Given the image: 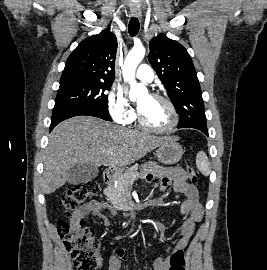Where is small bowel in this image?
I'll list each match as a JSON object with an SVG mask.
<instances>
[{
	"label": "small bowel",
	"instance_id": "small-bowel-1",
	"mask_svg": "<svg viewBox=\"0 0 267 270\" xmlns=\"http://www.w3.org/2000/svg\"><path fill=\"white\" fill-rule=\"evenodd\" d=\"M142 177L151 182L154 179L160 181V189L165 190L173 185L175 192L184 196L180 212L187 215V218L179 227V239L175 245L174 251L184 249L192 237L195 226L203 218V208L199 202V195L196 186L187 180L186 172L180 168H165L150 164L142 172ZM110 209L104 201L92 200L80 207L72 216L71 222L76 224L83 221L88 215L92 214L99 217L105 226L110 225L109 219L103 214V211ZM114 213L113 210H111ZM173 251V252H174ZM126 258V252L122 248H117L109 262V270H120V260ZM170 257H157L153 262V270H168Z\"/></svg>",
	"mask_w": 267,
	"mask_h": 270
}]
</instances>
